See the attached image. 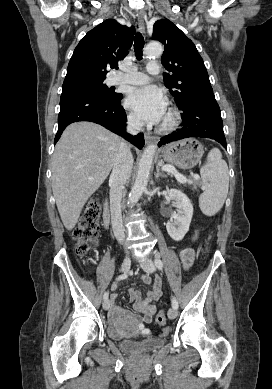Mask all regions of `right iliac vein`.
Masks as SVG:
<instances>
[{"mask_svg": "<svg viewBox=\"0 0 272 389\" xmlns=\"http://www.w3.org/2000/svg\"><path fill=\"white\" fill-rule=\"evenodd\" d=\"M131 267V258L129 255H127L124 259V261L122 262L121 266H120V271L125 274L129 271ZM110 307V301L108 299L104 300L103 302V309L104 310H108Z\"/></svg>", "mask_w": 272, "mask_h": 389, "instance_id": "63e3f726", "label": "right iliac vein"}]
</instances>
